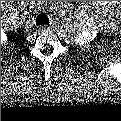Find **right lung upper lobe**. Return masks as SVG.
Wrapping results in <instances>:
<instances>
[{"label":"right lung upper lobe","mask_w":121,"mask_h":121,"mask_svg":"<svg viewBox=\"0 0 121 121\" xmlns=\"http://www.w3.org/2000/svg\"><path fill=\"white\" fill-rule=\"evenodd\" d=\"M7 36L9 37V39H10L12 42H14V43H16V44H18V43L22 40V37L19 36V35H17V34H11V35H7Z\"/></svg>","instance_id":"cb5924a9"}]
</instances>
